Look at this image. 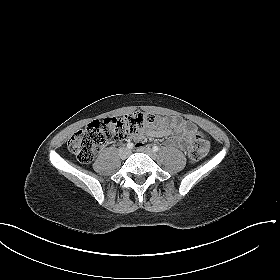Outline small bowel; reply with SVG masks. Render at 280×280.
<instances>
[{
    "mask_svg": "<svg viewBox=\"0 0 280 280\" xmlns=\"http://www.w3.org/2000/svg\"><path fill=\"white\" fill-rule=\"evenodd\" d=\"M174 132L180 134L178 137V143L183 149H185L188 146L192 136L197 132V128L193 123L182 119L174 118L169 120L167 118H158L153 126L139 131L133 135V138L135 140L141 141L146 136L166 137L173 134ZM141 145V143L137 144V146Z\"/></svg>",
    "mask_w": 280,
    "mask_h": 280,
    "instance_id": "1",
    "label": "small bowel"
}]
</instances>
